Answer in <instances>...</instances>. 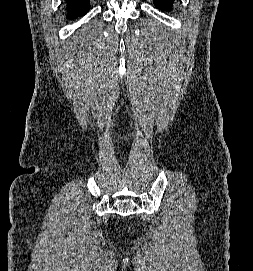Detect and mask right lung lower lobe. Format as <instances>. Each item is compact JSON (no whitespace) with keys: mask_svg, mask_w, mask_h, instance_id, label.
I'll use <instances>...</instances> for the list:
<instances>
[{"mask_svg":"<svg viewBox=\"0 0 253 271\" xmlns=\"http://www.w3.org/2000/svg\"><path fill=\"white\" fill-rule=\"evenodd\" d=\"M68 4L67 17L70 19L84 15L88 10L89 0H66Z\"/></svg>","mask_w":253,"mask_h":271,"instance_id":"1","label":"right lung lower lobe"}]
</instances>
